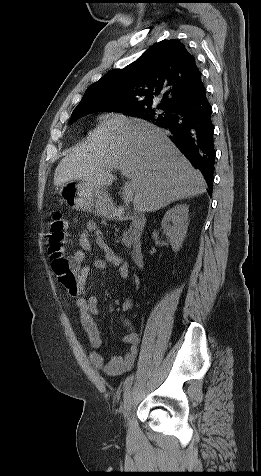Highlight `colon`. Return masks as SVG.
Instances as JSON below:
<instances>
[{
	"instance_id": "colon-1",
	"label": "colon",
	"mask_w": 261,
	"mask_h": 476,
	"mask_svg": "<svg viewBox=\"0 0 261 476\" xmlns=\"http://www.w3.org/2000/svg\"><path fill=\"white\" fill-rule=\"evenodd\" d=\"M68 236L67 222L60 213H55L51 221L49 250L52 258V268L59 281L67 290H75L78 275L73 263L66 255L64 243Z\"/></svg>"
}]
</instances>
